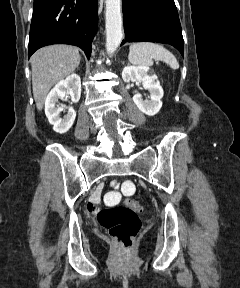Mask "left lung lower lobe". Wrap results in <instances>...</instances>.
I'll list each match as a JSON object with an SVG mask.
<instances>
[{
	"label": "left lung lower lobe",
	"instance_id": "left-lung-lower-lobe-1",
	"mask_svg": "<svg viewBox=\"0 0 240 288\" xmlns=\"http://www.w3.org/2000/svg\"><path fill=\"white\" fill-rule=\"evenodd\" d=\"M126 42L151 41L174 46L184 55L182 29L174 0H122Z\"/></svg>",
	"mask_w": 240,
	"mask_h": 288
}]
</instances>
